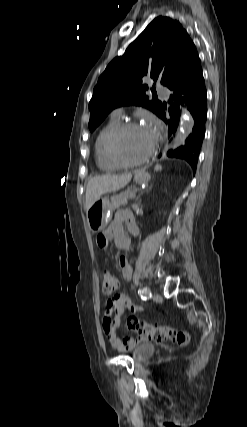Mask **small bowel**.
I'll return each instance as SVG.
<instances>
[{"mask_svg": "<svg viewBox=\"0 0 247 427\" xmlns=\"http://www.w3.org/2000/svg\"><path fill=\"white\" fill-rule=\"evenodd\" d=\"M123 223H126L128 228L135 235L140 234L132 215L128 211L121 210L117 212L109 227L97 237V245L105 249L109 241L113 240L118 248L128 250L131 241L124 233ZM119 267L123 278L125 280H130L133 275V270L125 257L119 258ZM126 310L136 314L142 311V307L135 304L124 295H116L107 302L102 319V329L106 339L113 349L120 352L129 351L146 340L140 336L137 339L129 335H125L122 338L117 336L116 330L120 326L121 316Z\"/></svg>", "mask_w": 247, "mask_h": 427, "instance_id": "c3829d8e", "label": "small bowel"}]
</instances>
